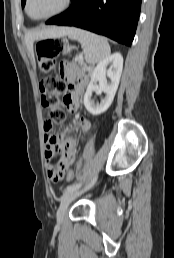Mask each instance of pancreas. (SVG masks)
I'll return each instance as SVG.
<instances>
[{
	"mask_svg": "<svg viewBox=\"0 0 174 258\" xmlns=\"http://www.w3.org/2000/svg\"><path fill=\"white\" fill-rule=\"evenodd\" d=\"M75 61L78 62V64L82 67L83 70L88 71L89 73L92 72L93 67H92V66H88V65L83 61V59H79V58L76 57V58H75Z\"/></svg>",
	"mask_w": 174,
	"mask_h": 258,
	"instance_id": "cf45deb5",
	"label": "pancreas"
}]
</instances>
